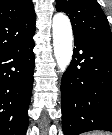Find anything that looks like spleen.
<instances>
[{"instance_id": "3e777b00", "label": "spleen", "mask_w": 112, "mask_h": 135, "mask_svg": "<svg viewBox=\"0 0 112 135\" xmlns=\"http://www.w3.org/2000/svg\"><path fill=\"white\" fill-rule=\"evenodd\" d=\"M85 135H109V134L105 133V132H92V133H88V134H85Z\"/></svg>"}]
</instances>
